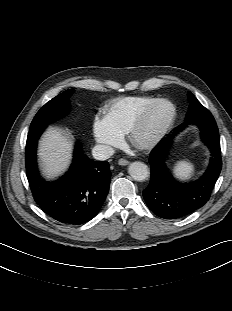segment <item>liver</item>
Instances as JSON below:
<instances>
[{
	"mask_svg": "<svg viewBox=\"0 0 232 311\" xmlns=\"http://www.w3.org/2000/svg\"><path fill=\"white\" fill-rule=\"evenodd\" d=\"M72 142L60 129H49L39 144V157L43 172L54 177L68 167L71 159Z\"/></svg>",
	"mask_w": 232,
	"mask_h": 311,
	"instance_id": "obj_1",
	"label": "liver"
}]
</instances>
